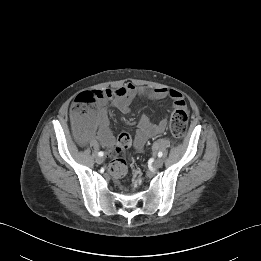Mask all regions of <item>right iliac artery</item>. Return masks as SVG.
Segmentation results:
<instances>
[{
    "mask_svg": "<svg viewBox=\"0 0 261 261\" xmlns=\"http://www.w3.org/2000/svg\"><path fill=\"white\" fill-rule=\"evenodd\" d=\"M98 155H99L100 157H102V156L104 155V153H103L102 151H100V152H98Z\"/></svg>",
    "mask_w": 261,
    "mask_h": 261,
    "instance_id": "obj_1",
    "label": "right iliac artery"
}]
</instances>
